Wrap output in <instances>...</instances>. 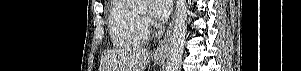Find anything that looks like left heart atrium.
<instances>
[{"mask_svg": "<svg viewBox=\"0 0 301 71\" xmlns=\"http://www.w3.org/2000/svg\"><path fill=\"white\" fill-rule=\"evenodd\" d=\"M172 8V0H151L150 13L156 20L165 19Z\"/></svg>", "mask_w": 301, "mask_h": 71, "instance_id": "left-heart-atrium-1", "label": "left heart atrium"}]
</instances>
